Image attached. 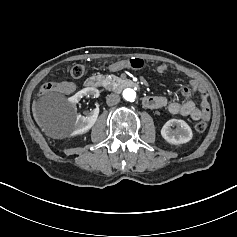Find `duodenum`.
I'll use <instances>...</instances> for the list:
<instances>
[{
    "instance_id": "duodenum-1",
    "label": "duodenum",
    "mask_w": 237,
    "mask_h": 237,
    "mask_svg": "<svg viewBox=\"0 0 237 237\" xmlns=\"http://www.w3.org/2000/svg\"><path fill=\"white\" fill-rule=\"evenodd\" d=\"M103 78L100 76H91L86 80V86L88 88H99L103 85ZM122 85L129 88H138V83L131 79L122 80Z\"/></svg>"
}]
</instances>
